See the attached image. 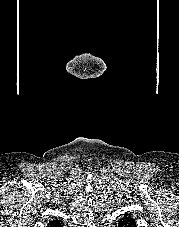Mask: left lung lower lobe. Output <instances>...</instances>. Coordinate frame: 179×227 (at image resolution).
<instances>
[{
  "label": "left lung lower lobe",
  "mask_w": 179,
  "mask_h": 227,
  "mask_svg": "<svg viewBox=\"0 0 179 227\" xmlns=\"http://www.w3.org/2000/svg\"><path fill=\"white\" fill-rule=\"evenodd\" d=\"M119 226H120V227H125V226H123V225H120V224H119ZM133 227H136V225H134Z\"/></svg>",
  "instance_id": "obj_1"
}]
</instances>
